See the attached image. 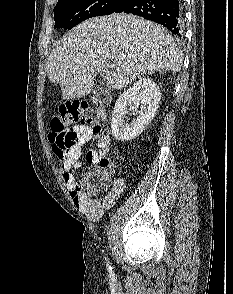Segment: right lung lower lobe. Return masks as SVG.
Returning <instances> with one entry per match:
<instances>
[{
	"mask_svg": "<svg viewBox=\"0 0 233 294\" xmlns=\"http://www.w3.org/2000/svg\"><path fill=\"white\" fill-rule=\"evenodd\" d=\"M122 12L157 22L178 38L183 35L182 0H123L113 13Z\"/></svg>",
	"mask_w": 233,
	"mask_h": 294,
	"instance_id": "right-lung-lower-lobe-1",
	"label": "right lung lower lobe"
}]
</instances>
